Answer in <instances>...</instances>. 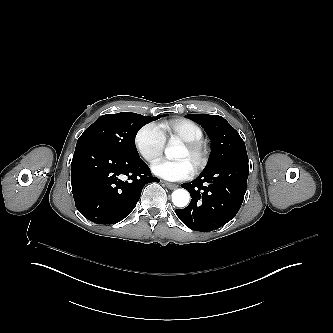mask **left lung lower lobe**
Segmentation results:
<instances>
[{
	"mask_svg": "<svg viewBox=\"0 0 333 333\" xmlns=\"http://www.w3.org/2000/svg\"><path fill=\"white\" fill-rule=\"evenodd\" d=\"M248 174V159H234L203 172L181 185L192 199L186 208L176 209V215L188 228L201 232L228 223L242 205Z\"/></svg>",
	"mask_w": 333,
	"mask_h": 333,
	"instance_id": "left-lung-lower-lobe-1",
	"label": "left lung lower lobe"
}]
</instances>
